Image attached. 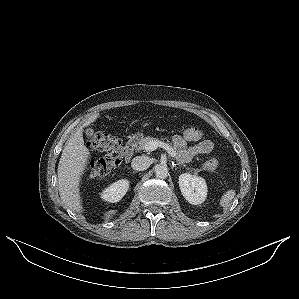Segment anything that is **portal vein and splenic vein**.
Wrapping results in <instances>:
<instances>
[{"label": "portal vein and splenic vein", "mask_w": 299, "mask_h": 299, "mask_svg": "<svg viewBox=\"0 0 299 299\" xmlns=\"http://www.w3.org/2000/svg\"><path fill=\"white\" fill-rule=\"evenodd\" d=\"M158 147L165 149L173 158H177L175 151L173 148L161 141H151L145 146V151L150 152L156 150Z\"/></svg>", "instance_id": "obj_1"}]
</instances>
